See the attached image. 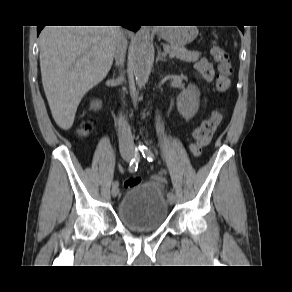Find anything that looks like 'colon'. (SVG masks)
Returning <instances> with one entry per match:
<instances>
[{
	"label": "colon",
	"mask_w": 292,
	"mask_h": 292,
	"mask_svg": "<svg viewBox=\"0 0 292 292\" xmlns=\"http://www.w3.org/2000/svg\"><path fill=\"white\" fill-rule=\"evenodd\" d=\"M213 59L219 64V72L216 77V88L220 92H226L230 88L229 74L231 67L229 64L227 52L218 45H213L211 48ZM224 113L221 110L212 112L211 116L204 120L201 125L194 131V143L191 145V152L194 156H199L204 147L209 145L213 135L222 122ZM93 128V121L87 119L82 122L77 130L80 137L87 136ZM141 180L138 177H130L125 180L124 187L131 188L140 184Z\"/></svg>",
	"instance_id": "1"
}]
</instances>
